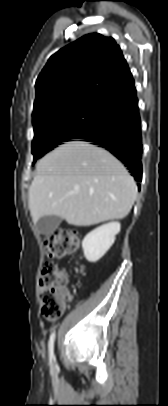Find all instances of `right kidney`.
Segmentation results:
<instances>
[{"instance_id":"right-kidney-1","label":"right kidney","mask_w":168,"mask_h":406,"mask_svg":"<svg viewBox=\"0 0 168 406\" xmlns=\"http://www.w3.org/2000/svg\"><path fill=\"white\" fill-rule=\"evenodd\" d=\"M120 228L119 222H110L88 233L82 242L86 259L89 262H96L102 258L113 245Z\"/></svg>"}]
</instances>
